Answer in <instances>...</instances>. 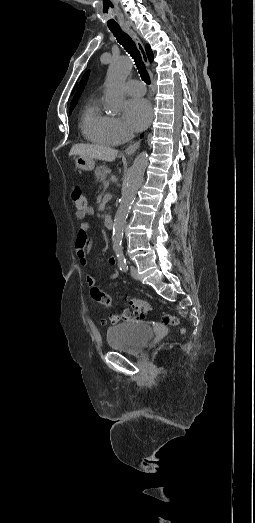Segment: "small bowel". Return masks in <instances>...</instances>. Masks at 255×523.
<instances>
[{"label": "small bowel", "mask_w": 255, "mask_h": 523, "mask_svg": "<svg viewBox=\"0 0 255 523\" xmlns=\"http://www.w3.org/2000/svg\"><path fill=\"white\" fill-rule=\"evenodd\" d=\"M94 214V210L91 207L86 208L84 211H80L76 213V217L79 220H83L88 216H92ZM90 229V224L86 221H83L79 225L78 234L76 237V243H75V249H76V256L80 262V264L84 267L88 265V253L91 249V242L88 237V231ZM107 262L115 266L116 259L114 257H109L107 259ZM119 271L117 269H114L108 276L110 281H116L119 277ZM87 281L88 284H95L94 280L89 272H87Z\"/></svg>", "instance_id": "obj_1"}]
</instances>
